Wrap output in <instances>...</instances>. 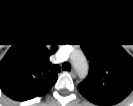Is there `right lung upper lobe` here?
<instances>
[{
    "mask_svg": "<svg viewBox=\"0 0 133 106\" xmlns=\"http://www.w3.org/2000/svg\"><path fill=\"white\" fill-rule=\"evenodd\" d=\"M59 65L49 62L44 44L27 39L13 45L0 62V88L16 101L46 94L57 81Z\"/></svg>",
    "mask_w": 133,
    "mask_h": 106,
    "instance_id": "obj_1",
    "label": "right lung upper lobe"
}]
</instances>
